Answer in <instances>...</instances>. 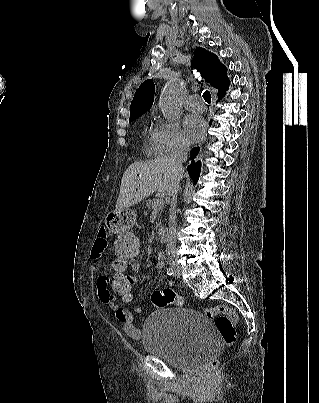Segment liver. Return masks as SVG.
<instances>
[{
    "label": "liver",
    "mask_w": 319,
    "mask_h": 403,
    "mask_svg": "<svg viewBox=\"0 0 319 403\" xmlns=\"http://www.w3.org/2000/svg\"><path fill=\"white\" fill-rule=\"evenodd\" d=\"M182 176L183 170L178 176L180 180ZM175 177V170L168 156L132 163L122 177L116 210L127 209L156 191L169 194Z\"/></svg>",
    "instance_id": "obj_1"
}]
</instances>
